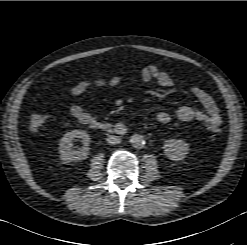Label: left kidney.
<instances>
[{"instance_id":"obj_1","label":"left kidney","mask_w":247,"mask_h":245,"mask_svg":"<svg viewBox=\"0 0 247 245\" xmlns=\"http://www.w3.org/2000/svg\"><path fill=\"white\" fill-rule=\"evenodd\" d=\"M164 153L173 161H182L185 159L189 144L180 139H169L164 141Z\"/></svg>"}]
</instances>
